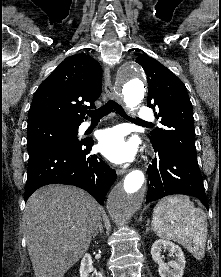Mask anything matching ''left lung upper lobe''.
Here are the masks:
<instances>
[{
	"instance_id": "left-lung-upper-lobe-1",
	"label": "left lung upper lobe",
	"mask_w": 221,
	"mask_h": 277,
	"mask_svg": "<svg viewBox=\"0 0 221 277\" xmlns=\"http://www.w3.org/2000/svg\"><path fill=\"white\" fill-rule=\"evenodd\" d=\"M136 62L147 75V106L165 127L151 132L153 147L171 148L197 162L193 110L185 85L152 57L141 55Z\"/></svg>"
}]
</instances>
